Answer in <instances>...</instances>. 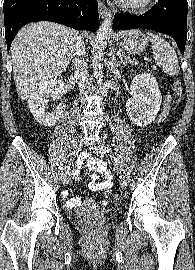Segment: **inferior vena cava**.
<instances>
[{
	"label": "inferior vena cava",
	"instance_id": "obj_1",
	"mask_svg": "<svg viewBox=\"0 0 195 270\" xmlns=\"http://www.w3.org/2000/svg\"><path fill=\"white\" fill-rule=\"evenodd\" d=\"M85 44L82 42L81 37H77L74 44V78L78 81L80 91H85L89 84V74L87 59L85 58Z\"/></svg>",
	"mask_w": 195,
	"mask_h": 270
}]
</instances>
